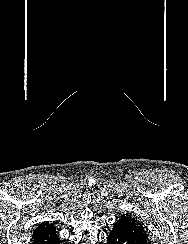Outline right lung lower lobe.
<instances>
[{"mask_svg": "<svg viewBox=\"0 0 188 244\" xmlns=\"http://www.w3.org/2000/svg\"><path fill=\"white\" fill-rule=\"evenodd\" d=\"M31 241L32 244H60L54 226L43 228L35 233Z\"/></svg>", "mask_w": 188, "mask_h": 244, "instance_id": "obj_1", "label": "right lung lower lobe"}]
</instances>
